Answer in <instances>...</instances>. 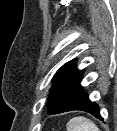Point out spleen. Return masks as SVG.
I'll list each match as a JSON object with an SVG mask.
<instances>
[{
  "label": "spleen",
  "instance_id": "obj_1",
  "mask_svg": "<svg viewBox=\"0 0 117 131\" xmlns=\"http://www.w3.org/2000/svg\"><path fill=\"white\" fill-rule=\"evenodd\" d=\"M67 131H99V129L88 118L78 116L67 123Z\"/></svg>",
  "mask_w": 117,
  "mask_h": 131
}]
</instances>
